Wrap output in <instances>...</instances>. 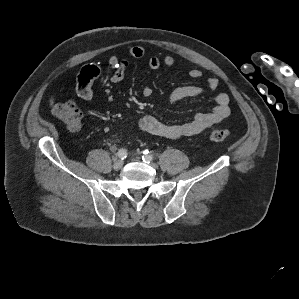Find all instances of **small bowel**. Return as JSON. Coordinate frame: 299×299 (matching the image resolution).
<instances>
[{
    "label": "small bowel",
    "mask_w": 299,
    "mask_h": 299,
    "mask_svg": "<svg viewBox=\"0 0 299 299\" xmlns=\"http://www.w3.org/2000/svg\"><path fill=\"white\" fill-rule=\"evenodd\" d=\"M146 55V50L141 46L130 48L123 56H111L109 65L113 72L110 76L112 83L121 82L128 67L129 58H142ZM174 60L171 56L157 57L152 56L148 60L147 72L150 73L159 69L161 66H172ZM100 69L97 65L91 64L83 67L78 75L76 95L83 101H90L93 97L92 83L99 76ZM188 75L197 79L202 76L200 69L192 67ZM219 81L216 78H210L207 83V89L216 90ZM206 92L201 86L186 85L177 87L170 94V102L176 103L184 99L196 97ZM153 90L150 86L142 88L144 97H150ZM215 107L210 112H201L194 116L188 122L181 124H167L162 122L152 114H146L139 119V128L151 135L176 139L180 137L197 135L213 125L221 122L230 115L229 96L226 93H217L214 97Z\"/></svg>",
    "instance_id": "1"
}]
</instances>
